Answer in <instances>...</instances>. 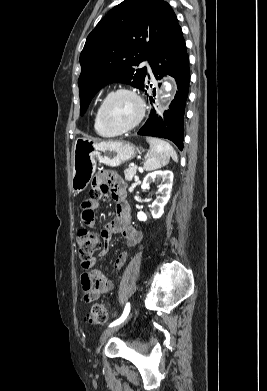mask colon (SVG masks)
Wrapping results in <instances>:
<instances>
[{
    "label": "colon",
    "instance_id": "1",
    "mask_svg": "<svg viewBox=\"0 0 267 391\" xmlns=\"http://www.w3.org/2000/svg\"><path fill=\"white\" fill-rule=\"evenodd\" d=\"M78 255L83 265H88L95 252L101 247L99 234L86 228H81L77 233ZM108 319V309L105 305L93 304L86 315V320L91 324H102Z\"/></svg>",
    "mask_w": 267,
    "mask_h": 391
}]
</instances>
